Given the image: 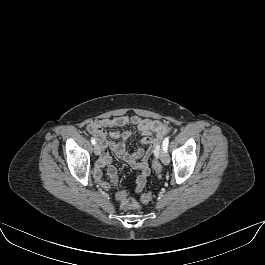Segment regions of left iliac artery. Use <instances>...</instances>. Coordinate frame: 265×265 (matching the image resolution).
<instances>
[{
	"mask_svg": "<svg viewBox=\"0 0 265 265\" xmlns=\"http://www.w3.org/2000/svg\"><path fill=\"white\" fill-rule=\"evenodd\" d=\"M168 144H169V138L167 137V138L164 139L163 144H162L163 150L167 151Z\"/></svg>",
	"mask_w": 265,
	"mask_h": 265,
	"instance_id": "obj_1",
	"label": "left iliac artery"
}]
</instances>
